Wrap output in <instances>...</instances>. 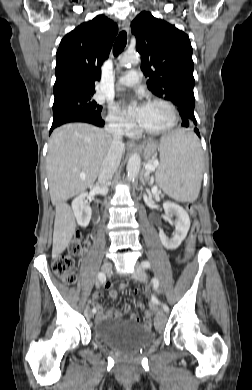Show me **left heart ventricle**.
Listing matches in <instances>:
<instances>
[{
    "mask_svg": "<svg viewBox=\"0 0 252 390\" xmlns=\"http://www.w3.org/2000/svg\"><path fill=\"white\" fill-rule=\"evenodd\" d=\"M172 120V114L169 108L161 103L145 104L139 124L147 130H159L167 127Z\"/></svg>",
    "mask_w": 252,
    "mask_h": 390,
    "instance_id": "left-heart-ventricle-1",
    "label": "left heart ventricle"
}]
</instances>
